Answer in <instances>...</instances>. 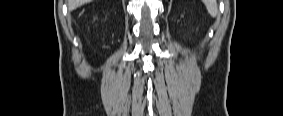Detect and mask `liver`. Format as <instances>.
Wrapping results in <instances>:
<instances>
[{"instance_id":"obj_1","label":"liver","mask_w":283,"mask_h":116,"mask_svg":"<svg viewBox=\"0 0 283 116\" xmlns=\"http://www.w3.org/2000/svg\"><path fill=\"white\" fill-rule=\"evenodd\" d=\"M88 2H91V0H67L69 10H74L77 7L84 5Z\"/></svg>"}]
</instances>
